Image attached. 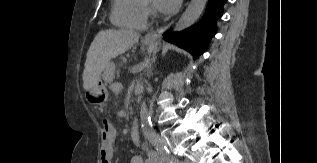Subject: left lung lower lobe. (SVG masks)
<instances>
[{"label":"left lung lower lobe","instance_id":"0a47b994","mask_svg":"<svg viewBox=\"0 0 317 163\" xmlns=\"http://www.w3.org/2000/svg\"><path fill=\"white\" fill-rule=\"evenodd\" d=\"M226 1L209 0L205 15L198 24L181 32H166L164 39L188 50L195 58L200 56L216 33V20L221 18Z\"/></svg>","mask_w":317,"mask_h":163}]
</instances>
